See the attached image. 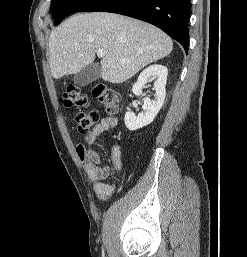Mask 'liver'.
I'll return each mask as SVG.
<instances>
[{
    "instance_id": "6515ba94",
    "label": "liver",
    "mask_w": 247,
    "mask_h": 257,
    "mask_svg": "<svg viewBox=\"0 0 247 257\" xmlns=\"http://www.w3.org/2000/svg\"><path fill=\"white\" fill-rule=\"evenodd\" d=\"M100 49L105 51L100 61L102 79L119 84L169 55L173 42L159 28L131 17L104 12L76 14L50 34L53 78L81 71Z\"/></svg>"
}]
</instances>
